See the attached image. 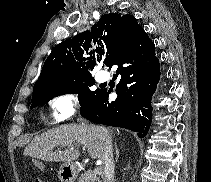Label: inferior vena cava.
<instances>
[{"instance_id": "obj_1", "label": "inferior vena cava", "mask_w": 211, "mask_h": 182, "mask_svg": "<svg viewBox=\"0 0 211 182\" xmlns=\"http://www.w3.org/2000/svg\"><path fill=\"white\" fill-rule=\"evenodd\" d=\"M102 141H103V156L102 161L105 164L104 171V182H114V158L112 141L106 130H102Z\"/></svg>"}]
</instances>
